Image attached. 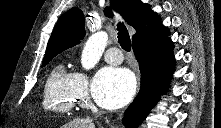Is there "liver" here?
Here are the masks:
<instances>
[{
    "instance_id": "1",
    "label": "liver",
    "mask_w": 221,
    "mask_h": 128,
    "mask_svg": "<svg viewBox=\"0 0 221 128\" xmlns=\"http://www.w3.org/2000/svg\"><path fill=\"white\" fill-rule=\"evenodd\" d=\"M63 128H94V124L89 119H74Z\"/></svg>"
}]
</instances>
